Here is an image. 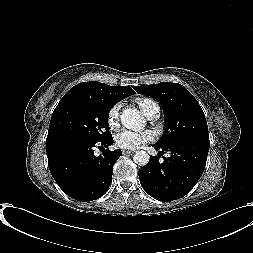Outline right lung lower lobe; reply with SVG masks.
<instances>
[{"instance_id": "right-lung-lower-lobe-1", "label": "right lung lower lobe", "mask_w": 253, "mask_h": 253, "mask_svg": "<svg viewBox=\"0 0 253 253\" xmlns=\"http://www.w3.org/2000/svg\"><path fill=\"white\" fill-rule=\"evenodd\" d=\"M112 136L100 140L65 138L46 144L50 172L62 191L78 201H93L102 197L112 183L113 165L121 150H104L94 155V147L108 148Z\"/></svg>"}]
</instances>
